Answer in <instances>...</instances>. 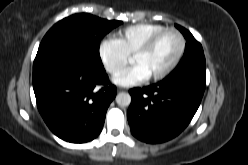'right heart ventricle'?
<instances>
[{
  "mask_svg": "<svg viewBox=\"0 0 248 165\" xmlns=\"http://www.w3.org/2000/svg\"><path fill=\"white\" fill-rule=\"evenodd\" d=\"M164 28L156 23H138L119 30L114 39L128 55H132L152 34Z\"/></svg>",
  "mask_w": 248,
  "mask_h": 165,
  "instance_id": "1",
  "label": "right heart ventricle"
}]
</instances>
